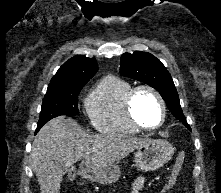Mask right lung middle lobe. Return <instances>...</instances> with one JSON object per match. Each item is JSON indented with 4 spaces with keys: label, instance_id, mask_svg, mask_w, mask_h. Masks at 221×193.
Here are the masks:
<instances>
[{
    "label": "right lung middle lobe",
    "instance_id": "right-lung-middle-lobe-1",
    "mask_svg": "<svg viewBox=\"0 0 221 193\" xmlns=\"http://www.w3.org/2000/svg\"><path fill=\"white\" fill-rule=\"evenodd\" d=\"M83 86L47 90L37 126L41 127L57 116L77 115L79 113L77 99Z\"/></svg>",
    "mask_w": 221,
    "mask_h": 193
}]
</instances>
